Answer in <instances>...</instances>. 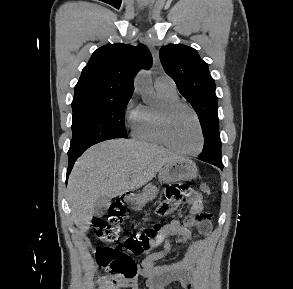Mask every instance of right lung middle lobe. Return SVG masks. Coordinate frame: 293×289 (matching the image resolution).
I'll use <instances>...</instances> for the list:
<instances>
[{
	"label": "right lung middle lobe",
	"mask_w": 293,
	"mask_h": 289,
	"mask_svg": "<svg viewBox=\"0 0 293 289\" xmlns=\"http://www.w3.org/2000/svg\"><path fill=\"white\" fill-rule=\"evenodd\" d=\"M131 98H86L72 102L73 122L70 149L104 140L127 138L125 108Z\"/></svg>",
	"instance_id": "dd1d6c3e"
}]
</instances>
